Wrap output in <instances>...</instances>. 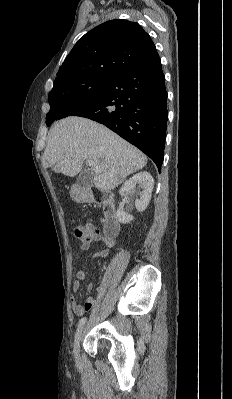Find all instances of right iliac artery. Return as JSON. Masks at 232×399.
Instances as JSON below:
<instances>
[{
	"label": "right iliac artery",
	"instance_id": "82829eb1",
	"mask_svg": "<svg viewBox=\"0 0 232 399\" xmlns=\"http://www.w3.org/2000/svg\"><path fill=\"white\" fill-rule=\"evenodd\" d=\"M87 318L83 317L79 320L78 326H77V331L82 329V327L85 325Z\"/></svg>",
	"mask_w": 232,
	"mask_h": 399
}]
</instances>
